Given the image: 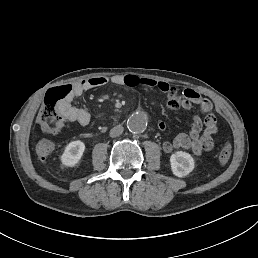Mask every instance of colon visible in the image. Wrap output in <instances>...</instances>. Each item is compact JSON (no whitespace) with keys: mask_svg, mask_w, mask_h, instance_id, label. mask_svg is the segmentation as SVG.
Instances as JSON below:
<instances>
[{"mask_svg":"<svg viewBox=\"0 0 258 258\" xmlns=\"http://www.w3.org/2000/svg\"><path fill=\"white\" fill-rule=\"evenodd\" d=\"M74 94V85L64 84L47 91L43 105L39 111L37 121L42 132L55 135L61 132L64 127V116L62 106L72 98ZM168 106L171 109H177L181 105V95L171 88L167 94ZM232 148L226 143L219 152L218 161L225 165L230 160Z\"/></svg>","mask_w":258,"mask_h":258,"instance_id":"5ec220e1","label":"colon"}]
</instances>
